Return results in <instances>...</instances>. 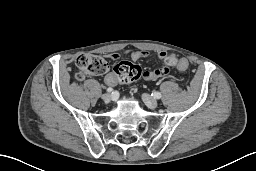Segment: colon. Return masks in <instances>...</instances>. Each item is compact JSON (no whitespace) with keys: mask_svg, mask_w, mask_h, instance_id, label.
<instances>
[{"mask_svg":"<svg viewBox=\"0 0 256 171\" xmlns=\"http://www.w3.org/2000/svg\"><path fill=\"white\" fill-rule=\"evenodd\" d=\"M167 66L182 68L185 62L174 55H168L164 59ZM76 66L79 73L77 77L83 79L84 75H101L109 70L106 59L99 55L81 54L76 58ZM117 77L124 82H131L143 76V71L138 65L123 61L115 67Z\"/></svg>","mask_w":256,"mask_h":171,"instance_id":"colon-1","label":"colon"}]
</instances>
